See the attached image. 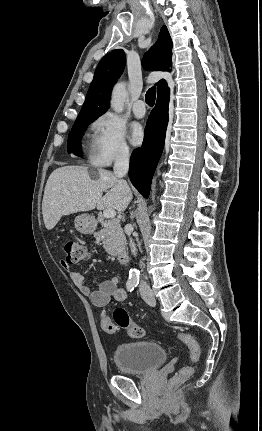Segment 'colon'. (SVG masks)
<instances>
[{
    "label": "colon",
    "instance_id": "colon-1",
    "mask_svg": "<svg viewBox=\"0 0 262 431\" xmlns=\"http://www.w3.org/2000/svg\"><path fill=\"white\" fill-rule=\"evenodd\" d=\"M65 252L64 264H77L85 260L88 256L87 247L78 241L67 240L63 244ZM100 324L106 333H114L118 328L126 330L131 338H141L144 335L143 329L130 320L129 314L124 308H117L113 313V318L102 315ZM176 337L183 341L190 350V365L183 366L172 380V384L181 383L189 379L194 373V365L199 362L201 350L197 340L187 332H177Z\"/></svg>",
    "mask_w": 262,
    "mask_h": 431
}]
</instances>
